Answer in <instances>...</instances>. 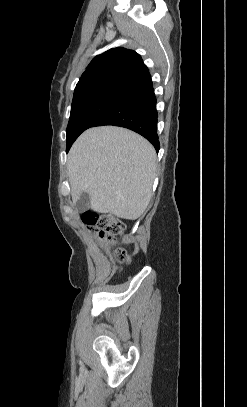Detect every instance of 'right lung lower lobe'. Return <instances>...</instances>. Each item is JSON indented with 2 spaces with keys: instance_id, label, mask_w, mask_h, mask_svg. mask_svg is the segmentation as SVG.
<instances>
[{
  "instance_id": "1",
  "label": "right lung lower lobe",
  "mask_w": 247,
  "mask_h": 407,
  "mask_svg": "<svg viewBox=\"0 0 247 407\" xmlns=\"http://www.w3.org/2000/svg\"><path fill=\"white\" fill-rule=\"evenodd\" d=\"M157 117L156 97L150 85L102 116L92 127L115 125L128 128L145 137L158 151Z\"/></svg>"
}]
</instances>
